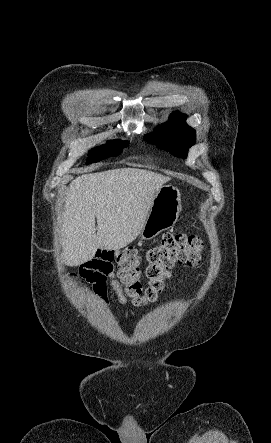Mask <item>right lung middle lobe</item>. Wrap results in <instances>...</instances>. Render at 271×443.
Listing matches in <instances>:
<instances>
[{
  "instance_id": "dd1d6c3e",
  "label": "right lung middle lobe",
  "mask_w": 271,
  "mask_h": 443,
  "mask_svg": "<svg viewBox=\"0 0 271 443\" xmlns=\"http://www.w3.org/2000/svg\"><path fill=\"white\" fill-rule=\"evenodd\" d=\"M128 146V142L121 140H110L107 144L96 147L89 151L87 164L99 162L105 158L117 156L124 147Z\"/></svg>"
}]
</instances>
